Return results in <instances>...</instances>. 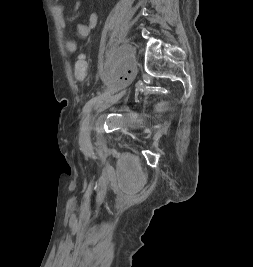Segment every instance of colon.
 Here are the masks:
<instances>
[{"label": "colon", "mask_w": 253, "mask_h": 267, "mask_svg": "<svg viewBox=\"0 0 253 267\" xmlns=\"http://www.w3.org/2000/svg\"><path fill=\"white\" fill-rule=\"evenodd\" d=\"M76 79L84 80L87 76V62L84 57H79L74 66Z\"/></svg>", "instance_id": "obj_1"}]
</instances>
